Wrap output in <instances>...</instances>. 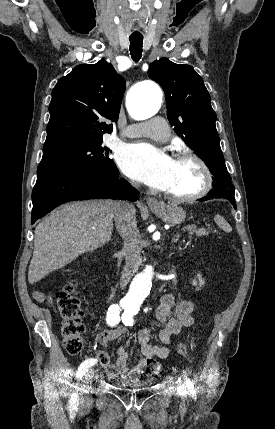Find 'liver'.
<instances>
[{
	"label": "liver",
	"instance_id": "1",
	"mask_svg": "<svg viewBox=\"0 0 275 429\" xmlns=\"http://www.w3.org/2000/svg\"><path fill=\"white\" fill-rule=\"evenodd\" d=\"M113 200L73 202L55 210L35 228L28 281L49 273L110 241L118 204Z\"/></svg>",
	"mask_w": 275,
	"mask_h": 429
}]
</instances>
